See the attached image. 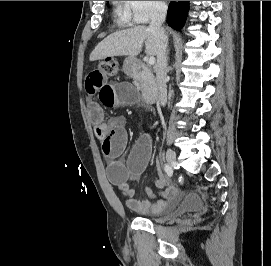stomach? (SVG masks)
Instances as JSON below:
<instances>
[{"instance_id": "stomach-1", "label": "stomach", "mask_w": 271, "mask_h": 266, "mask_svg": "<svg viewBox=\"0 0 271 266\" xmlns=\"http://www.w3.org/2000/svg\"><path fill=\"white\" fill-rule=\"evenodd\" d=\"M135 64H136V59L134 57H128L125 60L124 68L127 71H131Z\"/></svg>"}]
</instances>
